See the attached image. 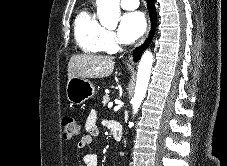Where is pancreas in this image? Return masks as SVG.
<instances>
[{
  "label": "pancreas",
  "mask_w": 227,
  "mask_h": 166,
  "mask_svg": "<svg viewBox=\"0 0 227 166\" xmlns=\"http://www.w3.org/2000/svg\"><path fill=\"white\" fill-rule=\"evenodd\" d=\"M109 102V95H105L104 97H103V101H102V103H103V106H106V104Z\"/></svg>",
  "instance_id": "pancreas-1"
}]
</instances>
